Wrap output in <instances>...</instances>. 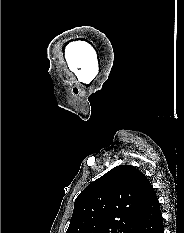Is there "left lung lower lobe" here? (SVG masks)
<instances>
[{"mask_svg": "<svg viewBox=\"0 0 184 233\" xmlns=\"http://www.w3.org/2000/svg\"><path fill=\"white\" fill-rule=\"evenodd\" d=\"M132 233H164L163 218L155 192Z\"/></svg>", "mask_w": 184, "mask_h": 233, "instance_id": "obj_1", "label": "left lung lower lobe"}]
</instances>
